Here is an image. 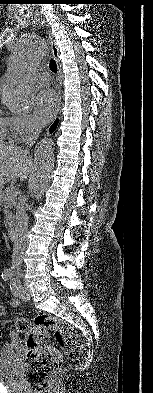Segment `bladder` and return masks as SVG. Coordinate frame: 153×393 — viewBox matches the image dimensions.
Wrapping results in <instances>:
<instances>
[{
    "mask_svg": "<svg viewBox=\"0 0 153 393\" xmlns=\"http://www.w3.org/2000/svg\"><path fill=\"white\" fill-rule=\"evenodd\" d=\"M20 364L15 360L13 348L0 349V381L16 384Z\"/></svg>",
    "mask_w": 153,
    "mask_h": 393,
    "instance_id": "31cf9c89",
    "label": "bladder"
}]
</instances>
